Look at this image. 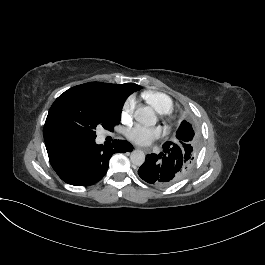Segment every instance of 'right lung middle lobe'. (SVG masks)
<instances>
[{
    "instance_id": "obj_1",
    "label": "right lung middle lobe",
    "mask_w": 265,
    "mask_h": 265,
    "mask_svg": "<svg viewBox=\"0 0 265 265\" xmlns=\"http://www.w3.org/2000/svg\"><path fill=\"white\" fill-rule=\"evenodd\" d=\"M130 94L112 84L90 82L60 95L51 106L44 137L64 146L95 140L97 125L112 130Z\"/></svg>"
}]
</instances>
